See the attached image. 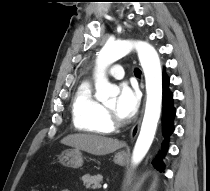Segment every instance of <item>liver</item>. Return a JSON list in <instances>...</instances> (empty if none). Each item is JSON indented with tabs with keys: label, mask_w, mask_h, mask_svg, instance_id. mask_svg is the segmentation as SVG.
<instances>
[{
	"label": "liver",
	"mask_w": 210,
	"mask_h": 191,
	"mask_svg": "<svg viewBox=\"0 0 210 191\" xmlns=\"http://www.w3.org/2000/svg\"><path fill=\"white\" fill-rule=\"evenodd\" d=\"M61 143L94 155H106L125 145L117 139L95 134H71L63 138Z\"/></svg>",
	"instance_id": "obj_1"
}]
</instances>
